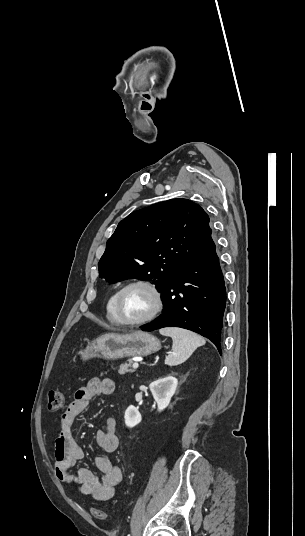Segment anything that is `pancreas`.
Wrapping results in <instances>:
<instances>
[{
  "mask_svg": "<svg viewBox=\"0 0 305 536\" xmlns=\"http://www.w3.org/2000/svg\"><path fill=\"white\" fill-rule=\"evenodd\" d=\"M131 364L132 362H129V364H121V366H119L118 374L123 376L126 372H135V370H131Z\"/></svg>",
  "mask_w": 305,
  "mask_h": 536,
  "instance_id": "pancreas-1",
  "label": "pancreas"
}]
</instances>
